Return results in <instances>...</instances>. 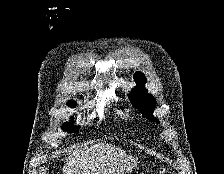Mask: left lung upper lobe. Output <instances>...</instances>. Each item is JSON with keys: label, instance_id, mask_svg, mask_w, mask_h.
<instances>
[{"label": "left lung upper lobe", "instance_id": "5c2ea615", "mask_svg": "<svg viewBox=\"0 0 224 174\" xmlns=\"http://www.w3.org/2000/svg\"><path fill=\"white\" fill-rule=\"evenodd\" d=\"M134 80L137 86L132 89V91L128 95L130 102L134 107L140 110L145 118L159 123L158 119H156L152 115L156 107V100L152 95L147 93V90L145 88L141 87L146 83L145 76L140 72H136L134 74Z\"/></svg>", "mask_w": 224, "mask_h": 174}]
</instances>
